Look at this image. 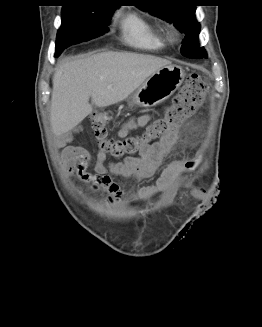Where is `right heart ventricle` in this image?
<instances>
[{"mask_svg":"<svg viewBox=\"0 0 262 327\" xmlns=\"http://www.w3.org/2000/svg\"><path fill=\"white\" fill-rule=\"evenodd\" d=\"M118 28L121 41L132 48L156 52L168 45L163 30L135 12L123 14Z\"/></svg>","mask_w":262,"mask_h":327,"instance_id":"obj_1","label":"right heart ventricle"}]
</instances>
